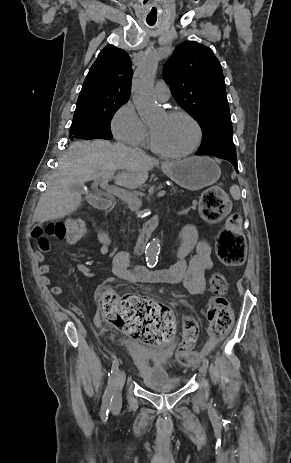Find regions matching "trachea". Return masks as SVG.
Listing matches in <instances>:
<instances>
[{
    "instance_id": "obj_1",
    "label": "trachea",
    "mask_w": 291,
    "mask_h": 463,
    "mask_svg": "<svg viewBox=\"0 0 291 463\" xmlns=\"http://www.w3.org/2000/svg\"><path fill=\"white\" fill-rule=\"evenodd\" d=\"M148 24L151 25V26L154 25V23H148Z\"/></svg>"
}]
</instances>
